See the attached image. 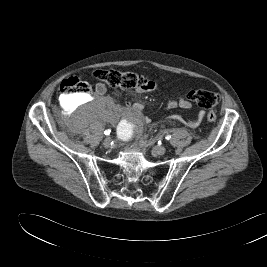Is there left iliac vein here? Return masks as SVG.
<instances>
[{
    "mask_svg": "<svg viewBox=\"0 0 267 267\" xmlns=\"http://www.w3.org/2000/svg\"><path fill=\"white\" fill-rule=\"evenodd\" d=\"M166 152V147L165 146H155L153 148V154L154 155H164Z\"/></svg>",
    "mask_w": 267,
    "mask_h": 267,
    "instance_id": "obj_1",
    "label": "left iliac vein"
}]
</instances>
